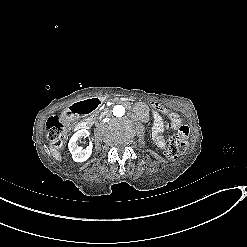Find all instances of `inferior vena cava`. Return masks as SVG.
Here are the masks:
<instances>
[{
    "label": "inferior vena cava",
    "instance_id": "inferior-vena-cava-1",
    "mask_svg": "<svg viewBox=\"0 0 247 247\" xmlns=\"http://www.w3.org/2000/svg\"><path fill=\"white\" fill-rule=\"evenodd\" d=\"M104 117V115H101L100 118Z\"/></svg>",
    "mask_w": 247,
    "mask_h": 247
}]
</instances>
